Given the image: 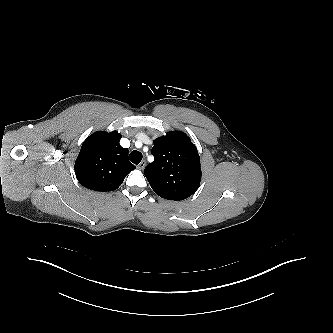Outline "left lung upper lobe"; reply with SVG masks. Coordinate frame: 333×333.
<instances>
[{"mask_svg": "<svg viewBox=\"0 0 333 333\" xmlns=\"http://www.w3.org/2000/svg\"><path fill=\"white\" fill-rule=\"evenodd\" d=\"M154 161L144 174L154 192L169 200H184L196 192L201 180L200 157L196 146L183 132H168L156 138Z\"/></svg>", "mask_w": 333, "mask_h": 333, "instance_id": "left-lung-upper-lobe-1", "label": "left lung upper lobe"}]
</instances>
